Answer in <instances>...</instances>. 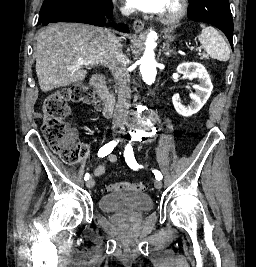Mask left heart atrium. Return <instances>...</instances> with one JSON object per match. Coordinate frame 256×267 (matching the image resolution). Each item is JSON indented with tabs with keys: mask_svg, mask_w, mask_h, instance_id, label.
<instances>
[{
	"mask_svg": "<svg viewBox=\"0 0 256 267\" xmlns=\"http://www.w3.org/2000/svg\"><path fill=\"white\" fill-rule=\"evenodd\" d=\"M143 10L152 14H156L163 18V15L170 7L169 0H143Z\"/></svg>",
	"mask_w": 256,
	"mask_h": 267,
	"instance_id": "39dd6f15",
	"label": "left heart atrium"
}]
</instances>
